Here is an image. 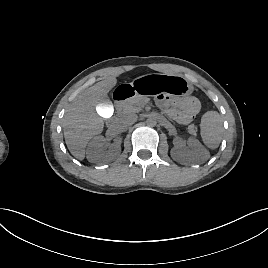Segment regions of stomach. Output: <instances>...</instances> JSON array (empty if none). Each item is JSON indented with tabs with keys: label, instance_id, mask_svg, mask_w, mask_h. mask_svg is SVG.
Masks as SVG:
<instances>
[{
	"label": "stomach",
	"instance_id": "1",
	"mask_svg": "<svg viewBox=\"0 0 268 268\" xmlns=\"http://www.w3.org/2000/svg\"><path fill=\"white\" fill-rule=\"evenodd\" d=\"M134 93L147 97L158 93L187 96L193 92L192 83L182 75L150 73L135 78L131 83Z\"/></svg>",
	"mask_w": 268,
	"mask_h": 268
}]
</instances>
